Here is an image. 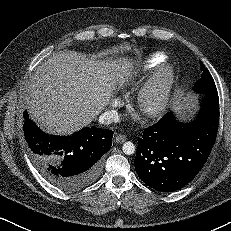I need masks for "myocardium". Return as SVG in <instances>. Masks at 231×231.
<instances>
[{
  "label": "myocardium",
  "instance_id": "1",
  "mask_svg": "<svg viewBox=\"0 0 231 231\" xmlns=\"http://www.w3.org/2000/svg\"><path fill=\"white\" fill-rule=\"evenodd\" d=\"M175 83L174 66L165 62L161 64L138 96V107L148 118L163 115L169 107Z\"/></svg>",
  "mask_w": 231,
  "mask_h": 231
}]
</instances>
